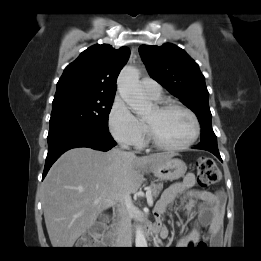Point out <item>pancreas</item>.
<instances>
[{
  "mask_svg": "<svg viewBox=\"0 0 261 261\" xmlns=\"http://www.w3.org/2000/svg\"><path fill=\"white\" fill-rule=\"evenodd\" d=\"M149 189L151 190L152 197L157 198L161 190L163 189V183H151Z\"/></svg>",
  "mask_w": 261,
  "mask_h": 261,
  "instance_id": "pancreas-1",
  "label": "pancreas"
}]
</instances>
